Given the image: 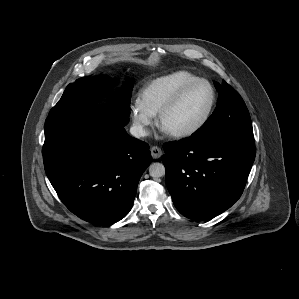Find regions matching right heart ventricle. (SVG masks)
<instances>
[{
  "label": "right heart ventricle",
  "mask_w": 299,
  "mask_h": 299,
  "mask_svg": "<svg viewBox=\"0 0 299 299\" xmlns=\"http://www.w3.org/2000/svg\"><path fill=\"white\" fill-rule=\"evenodd\" d=\"M198 78L188 71H176L161 76L142 88L139 101L145 108L157 115L182 86Z\"/></svg>",
  "instance_id": "right-heart-ventricle-1"
}]
</instances>
